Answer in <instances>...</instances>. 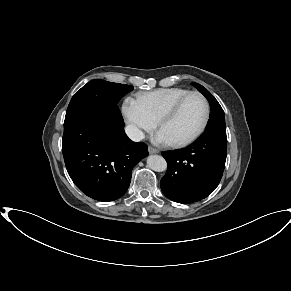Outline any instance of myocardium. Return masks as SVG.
<instances>
[{
  "instance_id": "myocardium-1",
  "label": "myocardium",
  "mask_w": 291,
  "mask_h": 291,
  "mask_svg": "<svg viewBox=\"0 0 291 291\" xmlns=\"http://www.w3.org/2000/svg\"><path fill=\"white\" fill-rule=\"evenodd\" d=\"M191 96H198L203 100V102L205 104V115H204V118H203V121H202L200 127L197 129V131L194 134H192L191 136H189L186 139L169 143L171 146H173L175 148L185 147V146H188V145L192 144L193 142H195L204 133V131L206 130L208 123H209L210 104H209L207 98L203 94H201L200 92L191 91V92L187 93L186 95H184L182 98H180L168 111H166L162 115V117L158 120V124H157L159 130L163 127L164 124H166L167 122L172 120L178 114V112L180 111L183 104Z\"/></svg>"
}]
</instances>
